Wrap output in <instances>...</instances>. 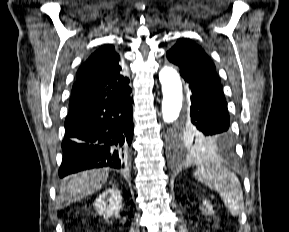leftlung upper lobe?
<instances>
[{
	"mask_svg": "<svg viewBox=\"0 0 289 232\" xmlns=\"http://www.w3.org/2000/svg\"><path fill=\"white\" fill-rule=\"evenodd\" d=\"M169 62L179 66L181 70L200 73L220 83L213 62L205 51L188 39H179L167 52ZM174 144L177 148L188 151H208L213 144L201 138L190 125L178 124L174 131Z\"/></svg>",
	"mask_w": 289,
	"mask_h": 232,
	"instance_id": "obj_1",
	"label": "left lung upper lobe"
}]
</instances>
